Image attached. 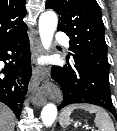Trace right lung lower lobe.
Segmentation results:
<instances>
[{"label": "right lung lower lobe", "mask_w": 117, "mask_h": 131, "mask_svg": "<svg viewBox=\"0 0 117 131\" xmlns=\"http://www.w3.org/2000/svg\"><path fill=\"white\" fill-rule=\"evenodd\" d=\"M30 47L27 33L0 44V102L20 117L24 95L31 78Z\"/></svg>", "instance_id": "1"}]
</instances>
